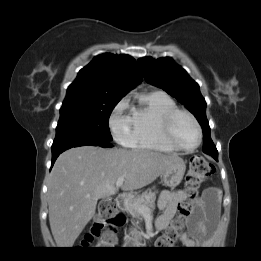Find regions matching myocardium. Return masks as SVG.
Returning <instances> with one entry per match:
<instances>
[{"mask_svg":"<svg viewBox=\"0 0 261 261\" xmlns=\"http://www.w3.org/2000/svg\"><path fill=\"white\" fill-rule=\"evenodd\" d=\"M181 115H185V116L189 117L192 120V122L194 123V125L197 129V132H198V141L193 147H190V148L180 145L177 142V140L175 139L174 124H175L177 118ZM162 133H163V136H164L166 142L170 146H172L175 150L184 151V152L195 151L201 145V142L203 140L202 128H201V125H200L199 121L197 120V118L190 111L184 110V109H179V108L174 109L165 115V117L162 120Z\"/></svg>","mask_w":261,"mask_h":261,"instance_id":"myocardium-1","label":"myocardium"}]
</instances>
